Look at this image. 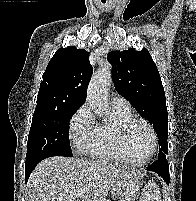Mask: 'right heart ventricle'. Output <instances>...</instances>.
Returning a JSON list of instances; mask_svg holds the SVG:
<instances>
[{"mask_svg": "<svg viewBox=\"0 0 196 201\" xmlns=\"http://www.w3.org/2000/svg\"><path fill=\"white\" fill-rule=\"evenodd\" d=\"M113 118L97 124V135L89 154L95 160L129 164L121 152L117 134L120 124L133 117L130 109L112 107Z\"/></svg>", "mask_w": 196, "mask_h": 201, "instance_id": "obj_1", "label": "right heart ventricle"}]
</instances>
